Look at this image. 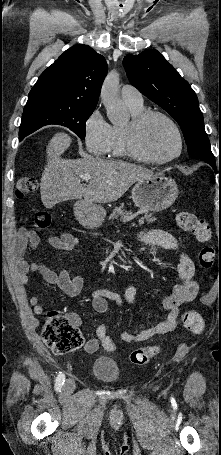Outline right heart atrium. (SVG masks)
I'll use <instances>...</instances> for the list:
<instances>
[{
	"instance_id": "d8ad5b80",
	"label": "right heart atrium",
	"mask_w": 221,
	"mask_h": 455,
	"mask_svg": "<svg viewBox=\"0 0 221 455\" xmlns=\"http://www.w3.org/2000/svg\"><path fill=\"white\" fill-rule=\"evenodd\" d=\"M83 139L86 150L101 156L108 152L111 139V125L105 120L100 110H94L85 120Z\"/></svg>"
}]
</instances>
